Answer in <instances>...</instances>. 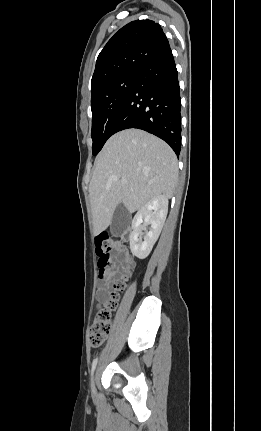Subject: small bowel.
<instances>
[{"mask_svg": "<svg viewBox=\"0 0 261 431\" xmlns=\"http://www.w3.org/2000/svg\"><path fill=\"white\" fill-rule=\"evenodd\" d=\"M122 257L127 266H133L134 262L130 259L128 252L125 249L118 251L116 258ZM120 262L117 261L113 266L107 267L103 273H99V281L97 284L96 299L100 305L106 304L112 293L113 283L116 280L117 268Z\"/></svg>", "mask_w": 261, "mask_h": 431, "instance_id": "obj_1", "label": "small bowel"}]
</instances>
